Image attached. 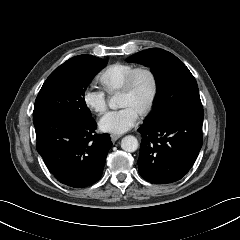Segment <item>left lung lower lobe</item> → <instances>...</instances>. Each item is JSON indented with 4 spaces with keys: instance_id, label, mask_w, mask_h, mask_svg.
<instances>
[{
    "instance_id": "obj_1",
    "label": "left lung lower lobe",
    "mask_w": 240,
    "mask_h": 240,
    "mask_svg": "<svg viewBox=\"0 0 240 240\" xmlns=\"http://www.w3.org/2000/svg\"><path fill=\"white\" fill-rule=\"evenodd\" d=\"M203 117L177 115L158 124H143L140 175L156 184L173 183L194 164L203 143Z\"/></svg>"
}]
</instances>
